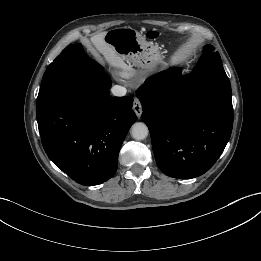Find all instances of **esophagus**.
Returning <instances> with one entry per match:
<instances>
[{"instance_id": "34e87169", "label": "esophagus", "mask_w": 261, "mask_h": 261, "mask_svg": "<svg viewBox=\"0 0 261 261\" xmlns=\"http://www.w3.org/2000/svg\"><path fill=\"white\" fill-rule=\"evenodd\" d=\"M133 110L138 118H140L142 114V105L138 98H135L133 101Z\"/></svg>"}]
</instances>
